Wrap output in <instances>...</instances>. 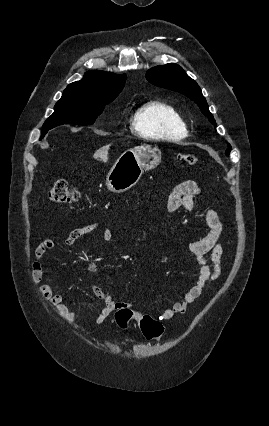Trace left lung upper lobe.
<instances>
[{
    "label": "left lung upper lobe",
    "instance_id": "left-lung-upper-lobe-1",
    "mask_svg": "<svg viewBox=\"0 0 269 426\" xmlns=\"http://www.w3.org/2000/svg\"><path fill=\"white\" fill-rule=\"evenodd\" d=\"M147 80L159 87L177 91L193 100L201 112L208 117L209 121L216 127L215 119L208 109V104L198 84L190 78L185 71L174 63L156 66L146 73ZM231 146L225 152L229 155Z\"/></svg>",
    "mask_w": 269,
    "mask_h": 426
}]
</instances>
